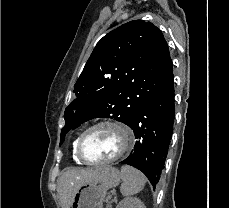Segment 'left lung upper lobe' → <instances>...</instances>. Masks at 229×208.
Here are the masks:
<instances>
[{"label":"left lung upper lobe","mask_w":229,"mask_h":208,"mask_svg":"<svg viewBox=\"0 0 229 208\" xmlns=\"http://www.w3.org/2000/svg\"><path fill=\"white\" fill-rule=\"evenodd\" d=\"M172 60L162 32L133 20L95 46L74 85L77 96L65 109L60 145L70 129L96 117L130 125L154 96L173 83Z\"/></svg>","instance_id":"left-lung-upper-lobe-1"}]
</instances>
